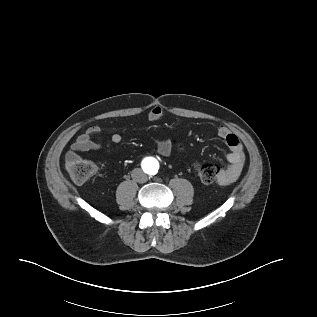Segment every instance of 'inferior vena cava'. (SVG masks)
<instances>
[{
    "label": "inferior vena cava",
    "mask_w": 317,
    "mask_h": 317,
    "mask_svg": "<svg viewBox=\"0 0 317 317\" xmlns=\"http://www.w3.org/2000/svg\"><path fill=\"white\" fill-rule=\"evenodd\" d=\"M131 176L138 183H145L148 180L147 175L140 168H135Z\"/></svg>",
    "instance_id": "602c4592"
}]
</instances>
